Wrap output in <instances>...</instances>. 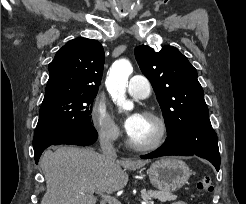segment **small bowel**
<instances>
[{
  "instance_id": "obj_1",
  "label": "small bowel",
  "mask_w": 246,
  "mask_h": 204,
  "mask_svg": "<svg viewBox=\"0 0 246 204\" xmlns=\"http://www.w3.org/2000/svg\"><path fill=\"white\" fill-rule=\"evenodd\" d=\"M172 204H186V203L182 202V201H179V202H175V203H172Z\"/></svg>"
}]
</instances>
